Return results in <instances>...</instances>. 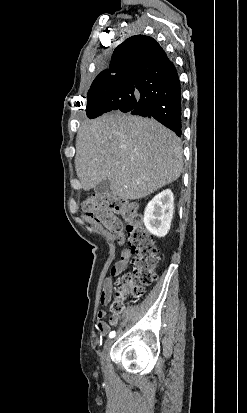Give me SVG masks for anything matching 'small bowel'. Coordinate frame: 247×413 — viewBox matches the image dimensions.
<instances>
[{"instance_id":"c3829d8e","label":"small bowel","mask_w":247,"mask_h":413,"mask_svg":"<svg viewBox=\"0 0 247 413\" xmlns=\"http://www.w3.org/2000/svg\"><path fill=\"white\" fill-rule=\"evenodd\" d=\"M131 261V254L129 251L122 252L119 260H117L112 266L110 276L107 277L104 281L102 292L100 295V303L106 305L110 299L113 288V278L120 276L126 272L129 268ZM106 313L104 311H99L97 315L96 329L101 336H106L110 333L111 327L116 326L120 317L117 314H113L109 318V322L104 320Z\"/></svg>"}]
</instances>
